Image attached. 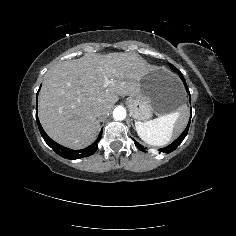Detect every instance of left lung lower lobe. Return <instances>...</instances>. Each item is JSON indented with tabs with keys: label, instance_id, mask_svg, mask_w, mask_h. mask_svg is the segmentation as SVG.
Wrapping results in <instances>:
<instances>
[{
	"label": "left lung lower lobe",
	"instance_id": "left-lung-lower-lobe-1",
	"mask_svg": "<svg viewBox=\"0 0 236 236\" xmlns=\"http://www.w3.org/2000/svg\"><path fill=\"white\" fill-rule=\"evenodd\" d=\"M169 66H170V68H171L172 70H174V71H176V72L178 73L179 77L181 78V80L183 81V83H184V85H185V88H186L187 93H188L189 96H190V92H189V89H188V87H187V84H186V81H185L183 75H182V74L179 72V70H178L176 67H174L172 64H169ZM190 121H191V116H190L189 123H188L187 127L185 128V130L183 131V133H182L173 143H171L170 145H168V146L165 147V148H161L159 151H161V152H166V153H170V152L174 151V150L182 143V141H183L184 138L186 137V135H187V133H188V130H189V126H190ZM133 141H134L136 147H137L139 150L145 152V149L143 148L142 145H140V144H139L137 141H135L134 139H133Z\"/></svg>",
	"mask_w": 236,
	"mask_h": 236
}]
</instances>
